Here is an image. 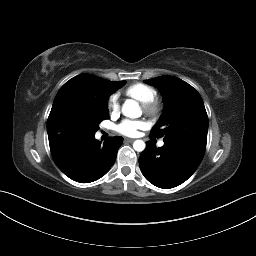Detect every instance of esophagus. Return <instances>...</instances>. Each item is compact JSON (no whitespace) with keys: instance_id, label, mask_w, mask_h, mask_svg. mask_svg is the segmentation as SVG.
<instances>
[{"instance_id":"1","label":"esophagus","mask_w":256,"mask_h":256,"mask_svg":"<svg viewBox=\"0 0 256 256\" xmlns=\"http://www.w3.org/2000/svg\"><path fill=\"white\" fill-rule=\"evenodd\" d=\"M124 141H125V142H133V141H134V139H131V138H125V139H124Z\"/></svg>"}]
</instances>
